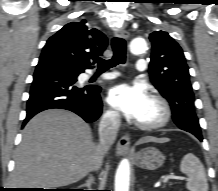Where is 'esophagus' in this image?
Instances as JSON below:
<instances>
[{
    "label": "esophagus",
    "mask_w": 218,
    "mask_h": 191,
    "mask_svg": "<svg viewBox=\"0 0 218 191\" xmlns=\"http://www.w3.org/2000/svg\"><path fill=\"white\" fill-rule=\"evenodd\" d=\"M116 35L120 38L128 39L129 33L121 28L116 32ZM117 153L120 155L128 154L130 152V137L128 134H125L120 138L116 146Z\"/></svg>",
    "instance_id": "1"
}]
</instances>
